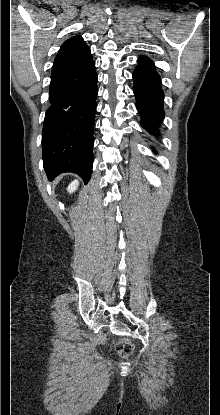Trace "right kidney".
<instances>
[{
    "label": "right kidney",
    "mask_w": 220,
    "mask_h": 415,
    "mask_svg": "<svg viewBox=\"0 0 220 415\" xmlns=\"http://www.w3.org/2000/svg\"><path fill=\"white\" fill-rule=\"evenodd\" d=\"M78 181L74 180L73 182H71L67 188V191L69 193H73L74 191H76L77 187H78Z\"/></svg>",
    "instance_id": "ca27d5eb"
}]
</instances>
